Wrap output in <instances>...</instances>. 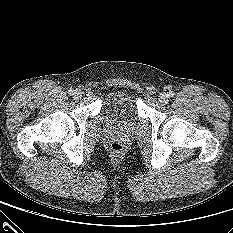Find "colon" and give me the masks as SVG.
<instances>
[{
	"instance_id": "5ec220e1",
	"label": "colon",
	"mask_w": 233,
	"mask_h": 233,
	"mask_svg": "<svg viewBox=\"0 0 233 233\" xmlns=\"http://www.w3.org/2000/svg\"><path fill=\"white\" fill-rule=\"evenodd\" d=\"M123 147L119 143H112L110 145V151L113 155L118 156L122 153Z\"/></svg>"
}]
</instances>
